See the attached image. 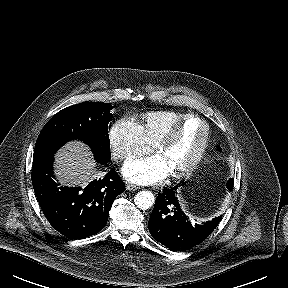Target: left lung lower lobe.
<instances>
[{"label":"left lung lower lobe","instance_id":"obj_1","mask_svg":"<svg viewBox=\"0 0 288 288\" xmlns=\"http://www.w3.org/2000/svg\"><path fill=\"white\" fill-rule=\"evenodd\" d=\"M177 187L164 189L158 194L148 224L152 237L173 251L200 244L214 231L222 218L220 216L201 225H192L180 209L176 197Z\"/></svg>","mask_w":288,"mask_h":288}]
</instances>
